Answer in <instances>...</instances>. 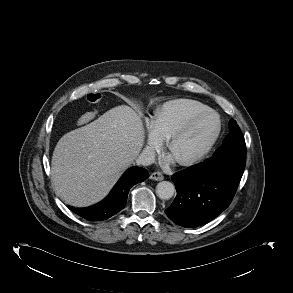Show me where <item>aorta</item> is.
Segmentation results:
<instances>
[{
  "label": "aorta",
  "mask_w": 293,
  "mask_h": 293,
  "mask_svg": "<svg viewBox=\"0 0 293 293\" xmlns=\"http://www.w3.org/2000/svg\"><path fill=\"white\" fill-rule=\"evenodd\" d=\"M175 186L169 181L159 182L156 186V194L160 199L168 200L175 194Z\"/></svg>",
  "instance_id": "762f6f07"
}]
</instances>
